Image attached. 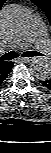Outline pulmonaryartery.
Here are the masks:
<instances>
[{"instance_id":"e3ab8cb5","label":"pulmonary artery","mask_w":51,"mask_h":153,"mask_svg":"<svg viewBox=\"0 0 51 153\" xmlns=\"http://www.w3.org/2000/svg\"><path fill=\"white\" fill-rule=\"evenodd\" d=\"M26 40L35 41L41 51H48L49 44L46 38V33L42 21L37 19L33 22L30 31L27 34Z\"/></svg>"}]
</instances>
